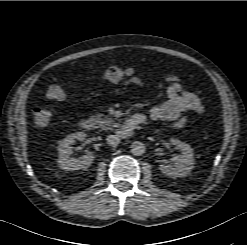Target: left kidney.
Wrapping results in <instances>:
<instances>
[{"label":"left kidney","instance_id":"left-kidney-1","mask_svg":"<svg viewBox=\"0 0 247 245\" xmlns=\"http://www.w3.org/2000/svg\"><path fill=\"white\" fill-rule=\"evenodd\" d=\"M171 144L180 149L181 154L173 158L171 165L161 164L159 169L170 177H182L189 174L194 165V153L191 146L178 139H171Z\"/></svg>","mask_w":247,"mask_h":245}]
</instances>
